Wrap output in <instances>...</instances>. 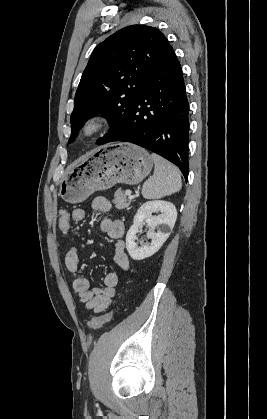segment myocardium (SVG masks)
I'll use <instances>...</instances> for the list:
<instances>
[{"mask_svg":"<svg viewBox=\"0 0 267 419\" xmlns=\"http://www.w3.org/2000/svg\"><path fill=\"white\" fill-rule=\"evenodd\" d=\"M109 118L106 113L98 112L90 115L80 127V137L90 140L99 135L108 126Z\"/></svg>","mask_w":267,"mask_h":419,"instance_id":"myocardium-1","label":"myocardium"}]
</instances>
